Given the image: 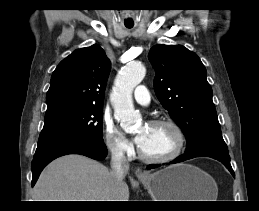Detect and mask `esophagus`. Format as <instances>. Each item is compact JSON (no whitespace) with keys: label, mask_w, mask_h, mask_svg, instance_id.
I'll use <instances>...</instances> for the list:
<instances>
[{"label":"esophagus","mask_w":259,"mask_h":211,"mask_svg":"<svg viewBox=\"0 0 259 211\" xmlns=\"http://www.w3.org/2000/svg\"><path fill=\"white\" fill-rule=\"evenodd\" d=\"M135 175L137 176L138 179H144L147 177V174L144 173L141 169H137L135 171Z\"/></svg>","instance_id":"34e87169"}]
</instances>
